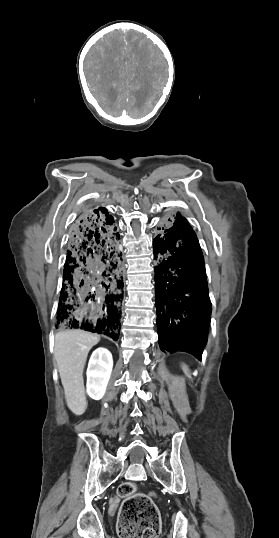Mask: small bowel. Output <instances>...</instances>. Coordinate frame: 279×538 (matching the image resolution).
I'll use <instances>...</instances> for the list:
<instances>
[{
  "mask_svg": "<svg viewBox=\"0 0 279 538\" xmlns=\"http://www.w3.org/2000/svg\"><path fill=\"white\" fill-rule=\"evenodd\" d=\"M119 500L117 497H113L109 502V512L113 514L118 506Z\"/></svg>",
  "mask_w": 279,
  "mask_h": 538,
  "instance_id": "1",
  "label": "small bowel"
}]
</instances>
